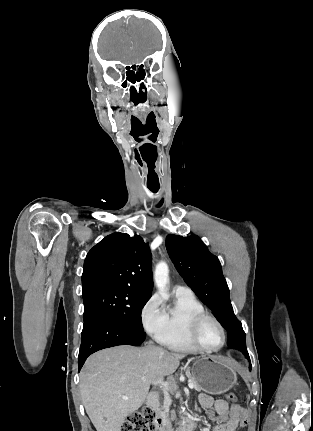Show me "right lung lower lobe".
I'll use <instances>...</instances> for the list:
<instances>
[{
	"instance_id": "98d812e1",
	"label": "right lung lower lobe",
	"mask_w": 313,
	"mask_h": 431,
	"mask_svg": "<svg viewBox=\"0 0 313 431\" xmlns=\"http://www.w3.org/2000/svg\"><path fill=\"white\" fill-rule=\"evenodd\" d=\"M144 340V332L110 317H95L84 323L78 357L79 370L87 357L98 350L117 345L139 346Z\"/></svg>"
}]
</instances>
